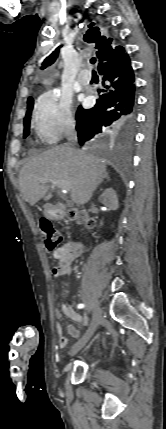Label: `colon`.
<instances>
[{
	"label": "colon",
	"mask_w": 166,
	"mask_h": 429,
	"mask_svg": "<svg viewBox=\"0 0 166 429\" xmlns=\"http://www.w3.org/2000/svg\"><path fill=\"white\" fill-rule=\"evenodd\" d=\"M66 218L70 220H76L79 222H87L91 224L86 214L83 211H78L75 209H70L65 214ZM41 231L44 237L45 247L48 251L54 252L56 251L62 241L61 234L53 227L51 222L47 219H42L40 222Z\"/></svg>",
	"instance_id": "1"
}]
</instances>
